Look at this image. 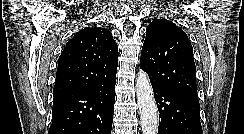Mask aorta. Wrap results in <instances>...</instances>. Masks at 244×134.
<instances>
[{"label": "aorta", "mask_w": 244, "mask_h": 134, "mask_svg": "<svg viewBox=\"0 0 244 134\" xmlns=\"http://www.w3.org/2000/svg\"><path fill=\"white\" fill-rule=\"evenodd\" d=\"M135 86L142 132L143 134H157L158 110L154 100L153 89L146 72L140 71L138 73Z\"/></svg>", "instance_id": "1"}]
</instances>
